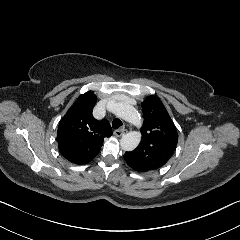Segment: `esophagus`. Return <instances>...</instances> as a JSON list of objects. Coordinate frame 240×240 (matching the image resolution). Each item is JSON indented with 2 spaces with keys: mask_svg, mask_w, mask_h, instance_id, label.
<instances>
[{
  "mask_svg": "<svg viewBox=\"0 0 240 240\" xmlns=\"http://www.w3.org/2000/svg\"><path fill=\"white\" fill-rule=\"evenodd\" d=\"M127 133L126 129H117L114 131V135L117 137H121Z\"/></svg>",
  "mask_w": 240,
  "mask_h": 240,
  "instance_id": "esophagus-1",
  "label": "esophagus"
}]
</instances>
